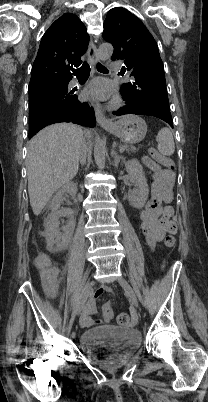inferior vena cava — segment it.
Listing matches in <instances>:
<instances>
[{
	"instance_id": "inferior-vena-cava-1",
	"label": "inferior vena cava",
	"mask_w": 208,
	"mask_h": 402,
	"mask_svg": "<svg viewBox=\"0 0 208 402\" xmlns=\"http://www.w3.org/2000/svg\"><path fill=\"white\" fill-rule=\"evenodd\" d=\"M87 148H86V142L84 140V138H82V142L79 146V152H78V158L80 160V164H85L86 162V152Z\"/></svg>"
}]
</instances>
